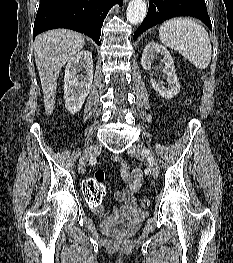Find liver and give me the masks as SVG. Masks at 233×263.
<instances>
[{
	"label": "liver",
	"instance_id": "6515ba94",
	"mask_svg": "<svg viewBox=\"0 0 233 263\" xmlns=\"http://www.w3.org/2000/svg\"><path fill=\"white\" fill-rule=\"evenodd\" d=\"M84 45V36L68 29H53L36 37L34 56L47 115H51L55 108L57 79L62 66Z\"/></svg>",
	"mask_w": 233,
	"mask_h": 263
}]
</instances>
